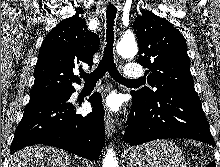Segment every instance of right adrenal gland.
I'll return each instance as SVG.
<instances>
[{"label": "right adrenal gland", "mask_w": 220, "mask_h": 167, "mask_svg": "<svg viewBox=\"0 0 220 167\" xmlns=\"http://www.w3.org/2000/svg\"><path fill=\"white\" fill-rule=\"evenodd\" d=\"M71 167H75V166H71ZM76 167H80L79 165H76Z\"/></svg>", "instance_id": "obj_1"}]
</instances>
